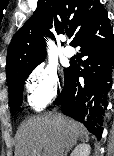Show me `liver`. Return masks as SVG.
Returning a JSON list of instances; mask_svg holds the SVG:
<instances>
[{"mask_svg":"<svg viewBox=\"0 0 114 156\" xmlns=\"http://www.w3.org/2000/svg\"><path fill=\"white\" fill-rule=\"evenodd\" d=\"M85 134L82 124L63 115L34 116L17 131L15 156H59Z\"/></svg>","mask_w":114,"mask_h":156,"instance_id":"1","label":"liver"}]
</instances>
